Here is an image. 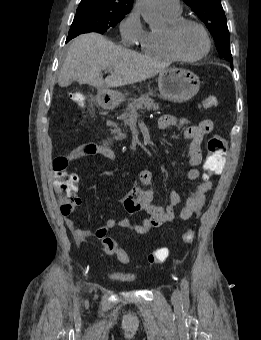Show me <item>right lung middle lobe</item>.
Here are the masks:
<instances>
[{
    "mask_svg": "<svg viewBox=\"0 0 261 340\" xmlns=\"http://www.w3.org/2000/svg\"><path fill=\"white\" fill-rule=\"evenodd\" d=\"M128 11L96 5H79L69 35L87 32L103 34L110 27H115Z\"/></svg>",
    "mask_w": 261,
    "mask_h": 340,
    "instance_id": "1",
    "label": "right lung middle lobe"
}]
</instances>
